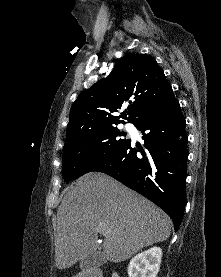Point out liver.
Instances as JSON below:
<instances>
[{
  "instance_id": "6515ba94",
  "label": "liver",
  "mask_w": 221,
  "mask_h": 277,
  "mask_svg": "<svg viewBox=\"0 0 221 277\" xmlns=\"http://www.w3.org/2000/svg\"><path fill=\"white\" fill-rule=\"evenodd\" d=\"M172 222L155 204L108 175L81 177L57 211L55 264L60 270L94 253L105 236L103 257L122 262L144 247L167 240Z\"/></svg>"
}]
</instances>
